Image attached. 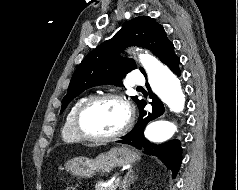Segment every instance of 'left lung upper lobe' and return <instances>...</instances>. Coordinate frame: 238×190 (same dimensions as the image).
<instances>
[{"label":"left lung upper lobe","instance_id":"5c2ea615","mask_svg":"<svg viewBox=\"0 0 238 190\" xmlns=\"http://www.w3.org/2000/svg\"><path fill=\"white\" fill-rule=\"evenodd\" d=\"M132 45L151 50L161 61L174 51V45L168 40L164 28L153 18L139 16L127 21L112 39L97 46L77 67L62 100L60 114L88 88L101 84L123 86L122 77L136 66L133 59L123 58L118 53ZM140 70L146 75L143 68ZM132 99L137 105L141 101L137 96Z\"/></svg>","mask_w":238,"mask_h":190}]
</instances>
